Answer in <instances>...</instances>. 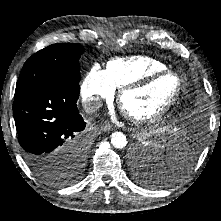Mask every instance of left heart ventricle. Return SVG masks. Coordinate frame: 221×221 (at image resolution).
<instances>
[{
    "label": "left heart ventricle",
    "instance_id": "left-heart-ventricle-1",
    "mask_svg": "<svg viewBox=\"0 0 221 221\" xmlns=\"http://www.w3.org/2000/svg\"><path fill=\"white\" fill-rule=\"evenodd\" d=\"M177 88L172 76L155 79L144 88L127 93L122 101L123 109L134 116H148L165 106Z\"/></svg>",
    "mask_w": 221,
    "mask_h": 221
}]
</instances>
